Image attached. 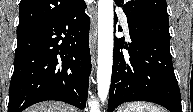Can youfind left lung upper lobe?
Returning <instances> with one entry per match:
<instances>
[{
	"instance_id": "1",
	"label": "left lung upper lobe",
	"mask_w": 193,
	"mask_h": 112,
	"mask_svg": "<svg viewBox=\"0 0 193 112\" xmlns=\"http://www.w3.org/2000/svg\"><path fill=\"white\" fill-rule=\"evenodd\" d=\"M115 3L123 8L127 20L168 16L166 0H115Z\"/></svg>"
}]
</instances>
